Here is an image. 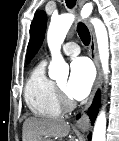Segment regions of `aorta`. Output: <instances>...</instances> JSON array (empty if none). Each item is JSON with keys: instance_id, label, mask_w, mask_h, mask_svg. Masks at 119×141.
I'll return each instance as SVG.
<instances>
[{"instance_id": "obj_1", "label": "aorta", "mask_w": 119, "mask_h": 141, "mask_svg": "<svg viewBox=\"0 0 119 141\" xmlns=\"http://www.w3.org/2000/svg\"><path fill=\"white\" fill-rule=\"evenodd\" d=\"M82 17H87L85 13H81ZM75 16L67 13L59 17L52 18L48 32L47 43L51 52L52 60L49 65V77L51 79L67 78L69 67L63 59L60 49L64 39L74 22ZM91 23L94 26L99 57L102 64L103 72L106 75L109 72V41L105 25L98 18H92ZM106 115L105 111H101L96 119L92 141H105L106 139Z\"/></svg>"}]
</instances>
